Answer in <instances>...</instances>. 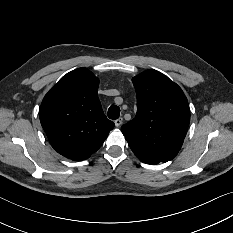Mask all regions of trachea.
I'll return each instance as SVG.
<instances>
[{"label": "trachea", "mask_w": 233, "mask_h": 233, "mask_svg": "<svg viewBox=\"0 0 233 233\" xmlns=\"http://www.w3.org/2000/svg\"><path fill=\"white\" fill-rule=\"evenodd\" d=\"M107 115L109 119H118L120 116V108L116 105H111L108 109Z\"/></svg>", "instance_id": "3493384b"}]
</instances>
